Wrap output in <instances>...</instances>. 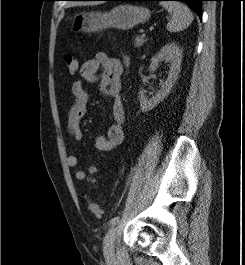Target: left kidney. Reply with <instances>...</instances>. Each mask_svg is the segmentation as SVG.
<instances>
[{"instance_id": "5707ae66", "label": "left kidney", "mask_w": 245, "mask_h": 265, "mask_svg": "<svg viewBox=\"0 0 245 265\" xmlns=\"http://www.w3.org/2000/svg\"><path fill=\"white\" fill-rule=\"evenodd\" d=\"M162 61L169 63L170 70L168 72V77L162 84L161 89L151 98H148L142 90L139 91L138 97L142 112L153 109L160 101L169 95L180 73L182 50L176 43L166 44L154 57H152L149 70H155Z\"/></svg>"}]
</instances>
